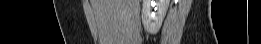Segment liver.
Masks as SVG:
<instances>
[{
	"label": "liver",
	"mask_w": 261,
	"mask_h": 44,
	"mask_svg": "<svg viewBox=\"0 0 261 44\" xmlns=\"http://www.w3.org/2000/svg\"><path fill=\"white\" fill-rule=\"evenodd\" d=\"M100 44L139 42V0H91Z\"/></svg>",
	"instance_id": "1"
}]
</instances>
